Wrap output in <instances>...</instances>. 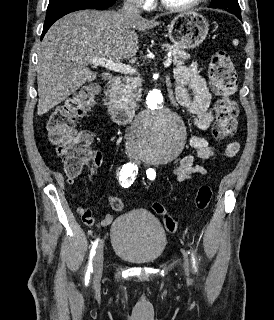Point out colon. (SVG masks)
<instances>
[{
  "instance_id": "obj_1",
  "label": "colon",
  "mask_w": 274,
  "mask_h": 320,
  "mask_svg": "<svg viewBox=\"0 0 274 320\" xmlns=\"http://www.w3.org/2000/svg\"><path fill=\"white\" fill-rule=\"evenodd\" d=\"M211 87L219 100L216 105V120L213 134L216 140H224L237 132L238 108L233 99L237 89V72L230 55L224 51L213 53L208 69ZM95 89L87 86L76 96L58 105L49 119L50 137L58 144V153L64 164L65 172L71 180L75 178L93 156V135L88 131H77L75 124L81 112L94 98ZM212 198V189L202 184L195 195V206L198 209L208 207ZM114 211L121 212L124 203L118 198L111 202ZM151 209L162 215L165 229L174 233L176 221L171 217L165 206L155 202Z\"/></svg>"
}]
</instances>
